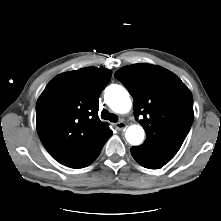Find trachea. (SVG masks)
<instances>
[{"mask_svg": "<svg viewBox=\"0 0 221 221\" xmlns=\"http://www.w3.org/2000/svg\"><path fill=\"white\" fill-rule=\"evenodd\" d=\"M101 118L105 119V120H109L111 122H117L118 121L117 115H115L113 113H110L106 109L101 112Z\"/></svg>", "mask_w": 221, "mask_h": 221, "instance_id": "obj_1", "label": "trachea"}]
</instances>
